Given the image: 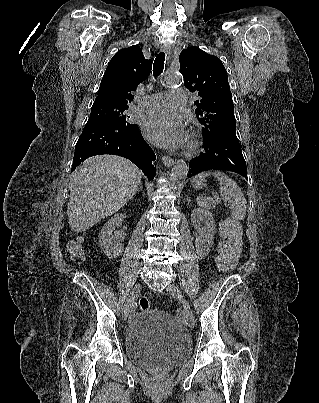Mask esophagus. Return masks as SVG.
Segmentation results:
<instances>
[{
	"label": "esophagus",
	"mask_w": 319,
	"mask_h": 403,
	"mask_svg": "<svg viewBox=\"0 0 319 403\" xmlns=\"http://www.w3.org/2000/svg\"><path fill=\"white\" fill-rule=\"evenodd\" d=\"M161 52L165 53L167 57L171 54V47L170 46H162ZM163 163L167 167H171L174 164V160L171 157L163 156L162 158Z\"/></svg>",
	"instance_id": "obj_1"
}]
</instances>
